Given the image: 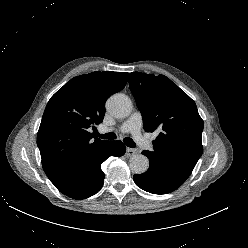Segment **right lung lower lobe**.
Listing matches in <instances>:
<instances>
[{"label":"right lung lower lobe","instance_id":"1","mask_svg":"<svg viewBox=\"0 0 248 248\" xmlns=\"http://www.w3.org/2000/svg\"><path fill=\"white\" fill-rule=\"evenodd\" d=\"M125 151L126 147L121 141H108L96 151L77 157L61 176L51 182L70 198H88L103 186L101 164L110 156L124 155Z\"/></svg>","mask_w":248,"mask_h":248}]
</instances>
